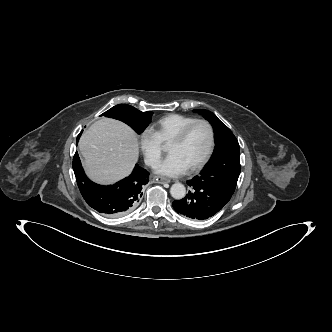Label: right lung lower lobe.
Masks as SVG:
<instances>
[{"label": "right lung lower lobe", "mask_w": 332, "mask_h": 332, "mask_svg": "<svg viewBox=\"0 0 332 332\" xmlns=\"http://www.w3.org/2000/svg\"><path fill=\"white\" fill-rule=\"evenodd\" d=\"M73 170L80 192L87 204L102 215L111 218L126 215L137 207L143 195L142 187L148 183L149 177L145 169L136 165L131 175L115 185H98L85 175L77 152L73 158Z\"/></svg>", "instance_id": "right-lung-lower-lobe-1"}]
</instances>
